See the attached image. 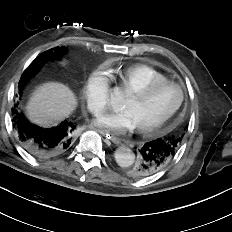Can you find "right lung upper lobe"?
<instances>
[{"mask_svg": "<svg viewBox=\"0 0 232 232\" xmlns=\"http://www.w3.org/2000/svg\"><path fill=\"white\" fill-rule=\"evenodd\" d=\"M49 51H52L53 55L56 56V55H61V52L59 51V49H55V52H53L52 49H50Z\"/></svg>", "mask_w": 232, "mask_h": 232, "instance_id": "obj_1", "label": "right lung upper lobe"}]
</instances>
